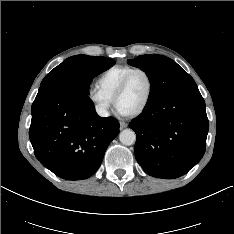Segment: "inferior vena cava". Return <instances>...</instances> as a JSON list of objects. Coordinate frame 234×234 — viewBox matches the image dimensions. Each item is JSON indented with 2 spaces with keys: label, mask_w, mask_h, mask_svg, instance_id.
I'll use <instances>...</instances> for the list:
<instances>
[{
  "label": "inferior vena cava",
  "mask_w": 234,
  "mask_h": 234,
  "mask_svg": "<svg viewBox=\"0 0 234 234\" xmlns=\"http://www.w3.org/2000/svg\"><path fill=\"white\" fill-rule=\"evenodd\" d=\"M96 112L101 117L109 116V112L102 105H96Z\"/></svg>",
  "instance_id": "inferior-vena-cava-1"
}]
</instances>
